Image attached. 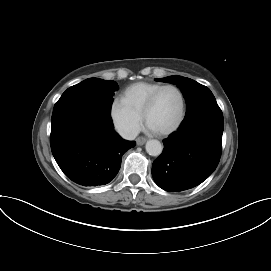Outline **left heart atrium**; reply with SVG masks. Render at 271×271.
<instances>
[{
    "mask_svg": "<svg viewBox=\"0 0 271 271\" xmlns=\"http://www.w3.org/2000/svg\"><path fill=\"white\" fill-rule=\"evenodd\" d=\"M148 129L153 131V132H156V130L150 124H148Z\"/></svg>",
    "mask_w": 271,
    "mask_h": 271,
    "instance_id": "left-heart-atrium-1",
    "label": "left heart atrium"
}]
</instances>
